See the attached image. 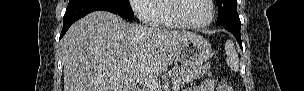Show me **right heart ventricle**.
<instances>
[{
    "instance_id": "1",
    "label": "right heart ventricle",
    "mask_w": 304,
    "mask_h": 91,
    "mask_svg": "<svg viewBox=\"0 0 304 91\" xmlns=\"http://www.w3.org/2000/svg\"><path fill=\"white\" fill-rule=\"evenodd\" d=\"M171 0H159L157 1L154 9L158 16V21L153 25L163 26L167 28H178V25L172 21L169 15V5Z\"/></svg>"
}]
</instances>
